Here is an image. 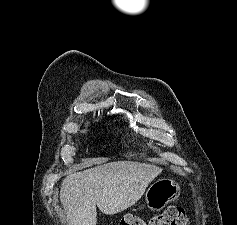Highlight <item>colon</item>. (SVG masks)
Wrapping results in <instances>:
<instances>
[{
	"mask_svg": "<svg viewBox=\"0 0 237 225\" xmlns=\"http://www.w3.org/2000/svg\"><path fill=\"white\" fill-rule=\"evenodd\" d=\"M189 218L179 206L168 207L162 213L145 220L137 215L123 217L119 225H188Z\"/></svg>",
	"mask_w": 237,
	"mask_h": 225,
	"instance_id": "1",
	"label": "colon"
}]
</instances>
